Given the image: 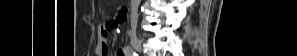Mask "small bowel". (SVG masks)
<instances>
[{
    "label": "small bowel",
    "mask_w": 297,
    "mask_h": 56,
    "mask_svg": "<svg viewBox=\"0 0 297 56\" xmlns=\"http://www.w3.org/2000/svg\"><path fill=\"white\" fill-rule=\"evenodd\" d=\"M125 18L124 12H120L114 20H111L101 26L98 41L95 48V53L97 56H108L109 48L107 44V38L110 32L115 29L120 22ZM126 55L124 51H119L118 56Z\"/></svg>",
    "instance_id": "1"
}]
</instances>
